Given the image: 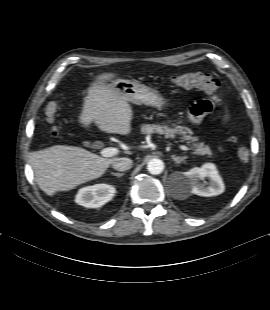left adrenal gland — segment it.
<instances>
[{
	"label": "left adrenal gland",
	"instance_id": "obj_1",
	"mask_svg": "<svg viewBox=\"0 0 270 310\" xmlns=\"http://www.w3.org/2000/svg\"><path fill=\"white\" fill-rule=\"evenodd\" d=\"M171 157L176 164H180L181 162L185 161V159L187 158L186 156L180 157V156H175V155H172Z\"/></svg>",
	"mask_w": 270,
	"mask_h": 310
}]
</instances>
